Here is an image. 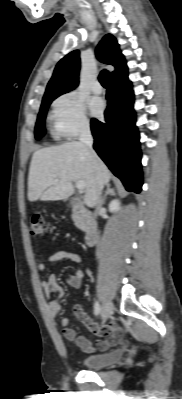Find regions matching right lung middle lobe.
Returning <instances> with one entry per match:
<instances>
[{
	"label": "right lung middle lobe",
	"mask_w": 182,
	"mask_h": 399,
	"mask_svg": "<svg viewBox=\"0 0 182 399\" xmlns=\"http://www.w3.org/2000/svg\"><path fill=\"white\" fill-rule=\"evenodd\" d=\"M56 97L43 99L35 126V138L38 140L45 134V117L47 109Z\"/></svg>",
	"instance_id": "obj_1"
}]
</instances>
